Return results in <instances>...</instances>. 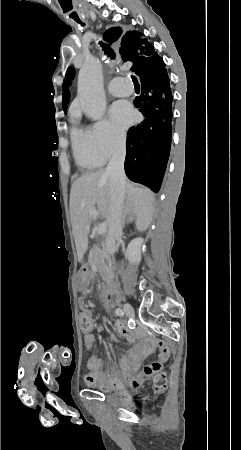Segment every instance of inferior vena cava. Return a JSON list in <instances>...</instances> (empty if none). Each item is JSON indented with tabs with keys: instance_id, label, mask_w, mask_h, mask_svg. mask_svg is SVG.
<instances>
[{
	"instance_id": "602c4592",
	"label": "inferior vena cava",
	"mask_w": 241,
	"mask_h": 450,
	"mask_svg": "<svg viewBox=\"0 0 241 450\" xmlns=\"http://www.w3.org/2000/svg\"><path fill=\"white\" fill-rule=\"evenodd\" d=\"M126 156V134L122 136L116 152H114L105 172L109 176L111 192V222L106 238V248L109 254L116 252V240L122 236V222L126 216L125 200V172L124 162Z\"/></svg>"
}]
</instances>
